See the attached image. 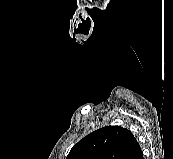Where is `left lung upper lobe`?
<instances>
[{"label": "left lung upper lobe", "mask_w": 173, "mask_h": 159, "mask_svg": "<svg viewBox=\"0 0 173 159\" xmlns=\"http://www.w3.org/2000/svg\"><path fill=\"white\" fill-rule=\"evenodd\" d=\"M140 151V145L129 130L106 126L81 139L66 159H135Z\"/></svg>", "instance_id": "left-lung-upper-lobe-1"}]
</instances>
